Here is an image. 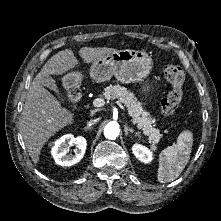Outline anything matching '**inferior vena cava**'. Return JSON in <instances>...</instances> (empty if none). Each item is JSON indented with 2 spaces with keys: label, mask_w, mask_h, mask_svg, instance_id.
<instances>
[{
  "label": "inferior vena cava",
  "mask_w": 221,
  "mask_h": 221,
  "mask_svg": "<svg viewBox=\"0 0 221 221\" xmlns=\"http://www.w3.org/2000/svg\"><path fill=\"white\" fill-rule=\"evenodd\" d=\"M99 120H100L99 118L94 119V120H90V121L87 123V126H88V127H89V126H92V125H94L95 123H97Z\"/></svg>",
  "instance_id": "1"
}]
</instances>
